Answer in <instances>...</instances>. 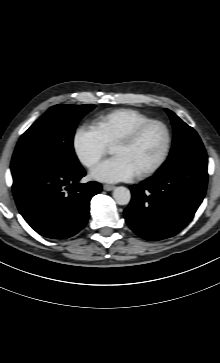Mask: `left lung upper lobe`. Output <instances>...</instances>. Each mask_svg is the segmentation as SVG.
I'll return each instance as SVG.
<instances>
[{
    "label": "left lung upper lobe",
    "instance_id": "5c2ea615",
    "mask_svg": "<svg viewBox=\"0 0 220 363\" xmlns=\"http://www.w3.org/2000/svg\"><path fill=\"white\" fill-rule=\"evenodd\" d=\"M174 128L173 146L170 155L162 167L176 163L191 155L206 156L205 148L195 130L184 123L172 111L166 109Z\"/></svg>",
    "mask_w": 220,
    "mask_h": 363
}]
</instances>
